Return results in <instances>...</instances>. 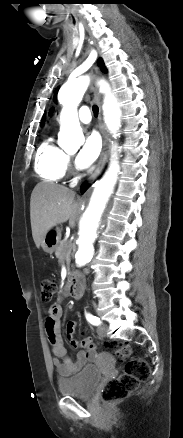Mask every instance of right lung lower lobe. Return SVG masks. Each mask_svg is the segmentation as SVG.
<instances>
[{"label": "right lung lower lobe", "mask_w": 183, "mask_h": 438, "mask_svg": "<svg viewBox=\"0 0 183 438\" xmlns=\"http://www.w3.org/2000/svg\"><path fill=\"white\" fill-rule=\"evenodd\" d=\"M86 190L85 184L82 185L81 192L83 193Z\"/></svg>", "instance_id": "98d812e1"}]
</instances>
